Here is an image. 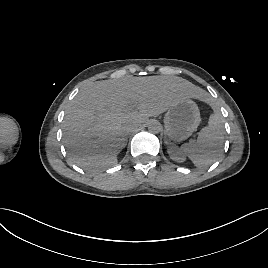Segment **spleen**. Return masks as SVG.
<instances>
[{"instance_id":"3e777b00","label":"spleen","mask_w":268,"mask_h":268,"mask_svg":"<svg viewBox=\"0 0 268 268\" xmlns=\"http://www.w3.org/2000/svg\"><path fill=\"white\" fill-rule=\"evenodd\" d=\"M223 140V120L221 115L215 111L210 115L208 125L198 133L197 142L182 145L181 151L196 167L205 168L219 157Z\"/></svg>"}]
</instances>
